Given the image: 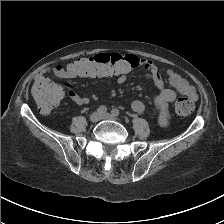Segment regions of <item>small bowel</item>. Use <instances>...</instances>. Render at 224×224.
I'll list each match as a JSON object with an SVG mask.
<instances>
[{
  "instance_id": "obj_1",
  "label": "small bowel",
  "mask_w": 224,
  "mask_h": 224,
  "mask_svg": "<svg viewBox=\"0 0 224 224\" xmlns=\"http://www.w3.org/2000/svg\"><path fill=\"white\" fill-rule=\"evenodd\" d=\"M138 59V65L145 70V75L150 79L158 88L162 90L155 97V107L158 112V122L160 125H166L169 121V104L176 99V91L189 97L191 100L195 101L197 99V94L194 87L181 75H179L174 70L167 71V77L169 84L172 89H164V80L161 77L157 66L149 59L141 58ZM52 72L59 78L71 79L77 77V74L71 69L70 66L64 67L61 63H54L50 67L41 70L36 76V81L39 80H49L47 73ZM127 74L115 75L118 84H122L126 81ZM67 93L70 98L78 105H86L89 103V98L87 96H82L74 91L71 84L66 85ZM132 109L136 113H143L145 111V104L141 100H134L131 103Z\"/></svg>"
}]
</instances>
